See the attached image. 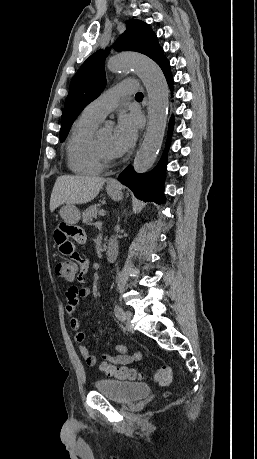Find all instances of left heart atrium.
Instances as JSON below:
<instances>
[{"mask_svg": "<svg viewBox=\"0 0 257 459\" xmlns=\"http://www.w3.org/2000/svg\"><path fill=\"white\" fill-rule=\"evenodd\" d=\"M140 127V119L134 114H125L119 117L113 132V150L120 156L127 152L136 142Z\"/></svg>", "mask_w": 257, "mask_h": 459, "instance_id": "left-heart-atrium-1", "label": "left heart atrium"}]
</instances>
